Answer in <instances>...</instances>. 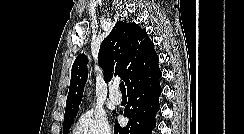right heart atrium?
<instances>
[{"mask_svg": "<svg viewBox=\"0 0 244 134\" xmlns=\"http://www.w3.org/2000/svg\"><path fill=\"white\" fill-rule=\"evenodd\" d=\"M75 134H112V129L105 114L89 110L78 118Z\"/></svg>", "mask_w": 244, "mask_h": 134, "instance_id": "right-heart-atrium-1", "label": "right heart atrium"}]
</instances>
